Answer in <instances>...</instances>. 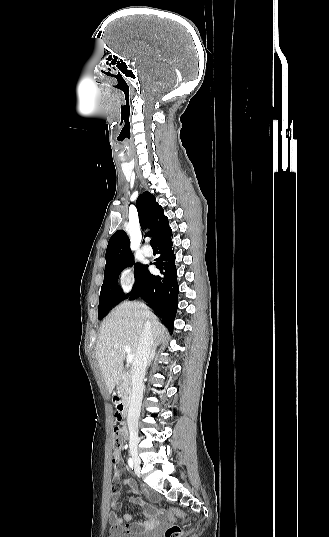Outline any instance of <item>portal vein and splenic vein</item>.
<instances>
[{
	"label": "portal vein and splenic vein",
	"mask_w": 329,
	"mask_h": 537,
	"mask_svg": "<svg viewBox=\"0 0 329 537\" xmlns=\"http://www.w3.org/2000/svg\"><path fill=\"white\" fill-rule=\"evenodd\" d=\"M124 350L127 353V362L130 363L134 359V355L131 354V347L129 345L124 346Z\"/></svg>",
	"instance_id": "18ae733b"
}]
</instances>
